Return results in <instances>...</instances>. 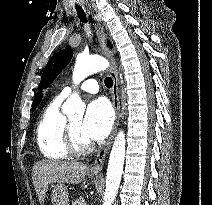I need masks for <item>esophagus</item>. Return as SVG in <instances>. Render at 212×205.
Wrapping results in <instances>:
<instances>
[{
	"label": "esophagus",
	"mask_w": 212,
	"mask_h": 205,
	"mask_svg": "<svg viewBox=\"0 0 212 205\" xmlns=\"http://www.w3.org/2000/svg\"><path fill=\"white\" fill-rule=\"evenodd\" d=\"M93 14V18L95 20V30H96V34L97 37L100 41L101 47L105 53V55L107 56V58L110 60L111 63V68H110V74L113 80V86H112V104L115 110V122L111 131V134L108 138V140L105 142V144L100 148V150L98 151L94 163L90 168V173L93 175H98L101 173L107 153L109 151V148L112 144L113 138L115 136V133L117 131V127L119 125V120H120V100H119V81H118V74L116 71V62L113 56L112 51L109 49L108 47V43H107V37H106V32H105V28L103 26L101 17L92 12Z\"/></svg>",
	"instance_id": "obj_1"
}]
</instances>
